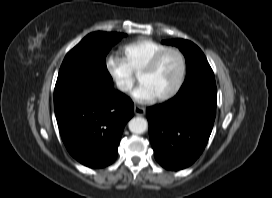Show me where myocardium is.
I'll return each instance as SVG.
<instances>
[{
	"label": "myocardium",
	"mask_w": 272,
	"mask_h": 198,
	"mask_svg": "<svg viewBox=\"0 0 272 198\" xmlns=\"http://www.w3.org/2000/svg\"><path fill=\"white\" fill-rule=\"evenodd\" d=\"M169 53H176L179 56L180 61H181V71H180V75H179V78H178L175 86L168 93L158 96V97H155V100L158 102H164V101L172 99L181 90V88L185 82V78H186V74H187V61H186L185 54L180 49L175 48V47L165 48V49L157 52L149 60V62L143 67V69L139 73V80H140V77L142 75H145V74H148V73H151L152 71H154L157 68V66L159 65V63L161 62V60Z\"/></svg>",
	"instance_id": "1"
}]
</instances>
